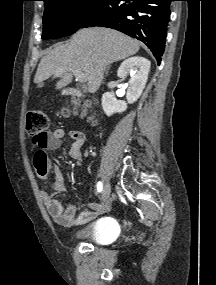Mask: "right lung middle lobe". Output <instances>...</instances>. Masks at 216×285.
Wrapping results in <instances>:
<instances>
[{"mask_svg":"<svg viewBox=\"0 0 216 285\" xmlns=\"http://www.w3.org/2000/svg\"><path fill=\"white\" fill-rule=\"evenodd\" d=\"M105 0H50L45 3L43 39L76 32Z\"/></svg>","mask_w":216,"mask_h":285,"instance_id":"right-lung-middle-lobe-1","label":"right lung middle lobe"}]
</instances>
